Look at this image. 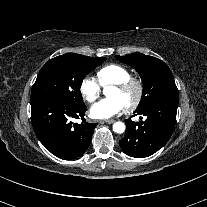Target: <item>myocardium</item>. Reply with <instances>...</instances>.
I'll return each instance as SVG.
<instances>
[{
    "instance_id": "obj_1",
    "label": "myocardium",
    "mask_w": 207,
    "mask_h": 207,
    "mask_svg": "<svg viewBox=\"0 0 207 207\" xmlns=\"http://www.w3.org/2000/svg\"><path fill=\"white\" fill-rule=\"evenodd\" d=\"M113 86L122 93H125L130 89H134L135 95L133 99L127 104L126 108L129 111H133L139 106L144 95V84L141 79L137 77H129L122 82L113 84Z\"/></svg>"
}]
</instances>
